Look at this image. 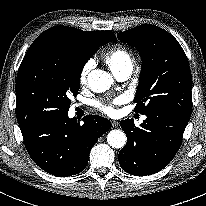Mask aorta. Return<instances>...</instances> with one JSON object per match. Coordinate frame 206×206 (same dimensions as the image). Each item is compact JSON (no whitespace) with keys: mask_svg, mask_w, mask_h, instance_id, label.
<instances>
[{"mask_svg":"<svg viewBox=\"0 0 206 206\" xmlns=\"http://www.w3.org/2000/svg\"><path fill=\"white\" fill-rule=\"evenodd\" d=\"M88 84L93 92L101 93L113 84V77L104 70L95 69L88 75ZM108 144L113 148H122L126 144V135L121 130H112L107 135Z\"/></svg>","mask_w":206,"mask_h":206,"instance_id":"aorta-1","label":"aorta"}]
</instances>
